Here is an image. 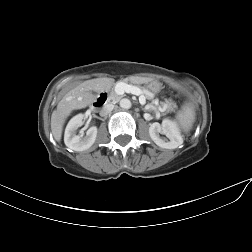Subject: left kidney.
I'll return each instance as SVG.
<instances>
[{
    "instance_id": "left-kidney-1",
    "label": "left kidney",
    "mask_w": 252,
    "mask_h": 252,
    "mask_svg": "<svg viewBox=\"0 0 252 252\" xmlns=\"http://www.w3.org/2000/svg\"><path fill=\"white\" fill-rule=\"evenodd\" d=\"M160 134L166 137H161ZM149 135L155 144L166 149H175L183 143L177 125L169 119H164L162 124L158 122L151 124Z\"/></svg>"
}]
</instances>
